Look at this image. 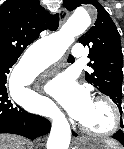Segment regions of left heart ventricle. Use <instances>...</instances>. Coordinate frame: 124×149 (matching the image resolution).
Returning a JSON list of instances; mask_svg holds the SVG:
<instances>
[{
    "label": "left heart ventricle",
    "mask_w": 124,
    "mask_h": 149,
    "mask_svg": "<svg viewBox=\"0 0 124 149\" xmlns=\"http://www.w3.org/2000/svg\"><path fill=\"white\" fill-rule=\"evenodd\" d=\"M80 122L96 132H105L112 126L111 110L107 104L93 101Z\"/></svg>",
    "instance_id": "obj_1"
}]
</instances>
